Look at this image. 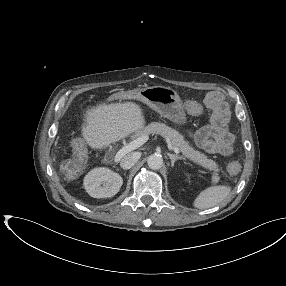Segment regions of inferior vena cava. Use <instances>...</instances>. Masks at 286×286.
Segmentation results:
<instances>
[{
    "label": "inferior vena cava",
    "mask_w": 286,
    "mask_h": 286,
    "mask_svg": "<svg viewBox=\"0 0 286 286\" xmlns=\"http://www.w3.org/2000/svg\"><path fill=\"white\" fill-rule=\"evenodd\" d=\"M139 158H140L139 153L136 152L128 153L121 159L120 166L125 170L130 169L136 164Z\"/></svg>",
    "instance_id": "obj_1"
}]
</instances>
